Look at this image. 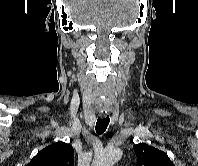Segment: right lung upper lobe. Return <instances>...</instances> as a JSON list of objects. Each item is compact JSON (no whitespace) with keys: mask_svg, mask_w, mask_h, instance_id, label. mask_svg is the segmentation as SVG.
I'll return each mask as SVG.
<instances>
[{"mask_svg":"<svg viewBox=\"0 0 198 166\" xmlns=\"http://www.w3.org/2000/svg\"><path fill=\"white\" fill-rule=\"evenodd\" d=\"M27 166H74V149L57 142L42 149Z\"/></svg>","mask_w":198,"mask_h":166,"instance_id":"1","label":"right lung upper lobe"}]
</instances>
